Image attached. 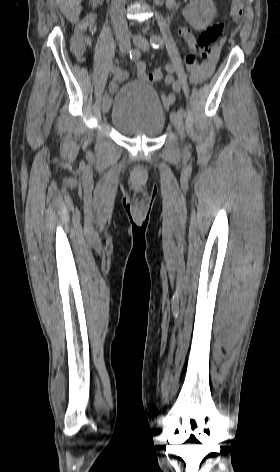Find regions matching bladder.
<instances>
[{"label": "bladder", "instance_id": "bladder-1", "mask_svg": "<svg viewBox=\"0 0 280 472\" xmlns=\"http://www.w3.org/2000/svg\"><path fill=\"white\" fill-rule=\"evenodd\" d=\"M166 113L156 89L147 82L135 80L116 92L111 124L130 137H158L164 130Z\"/></svg>", "mask_w": 280, "mask_h": 472}]
</instances>
